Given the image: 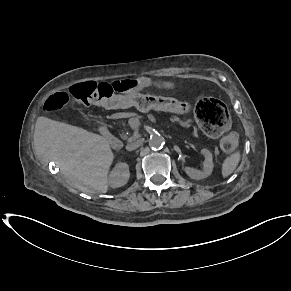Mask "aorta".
Instances as JSON below:
<instances>
[{
    "instance_id": "1",
    "label": "aorta",
    "mask_w": 291,
    "mask_h": 291,
    "mask_svg": "<svg viewBox=\"0 0 291 291\" xmlns=\"http://www.w3.org/2000/svg\"><path fill=\"white\" fill-rule=\"evenodd\" d=\"M165 144V140L161 135H153L149 140V146L154 149H162Z\"/></svg>"
}]
</instances>
